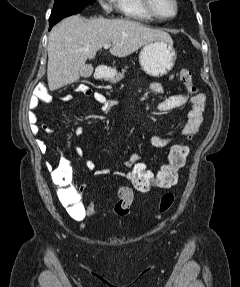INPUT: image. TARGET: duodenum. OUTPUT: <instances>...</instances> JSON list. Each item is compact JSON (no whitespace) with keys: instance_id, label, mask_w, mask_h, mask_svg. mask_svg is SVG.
<instances>
[{"instance_id":"1","label":"duodenum","mask_w":240,"mask_h":287,"mask_svg":"<svg viewBox=\"0 0 240 287\" xmlns=\"http://www.w3.org/2000/svg\"><path fill=\"white\" fill-rule=\"evenodd\" d=\"M110 74V69L107 65H98L96 72H95V78L98 80L104 79L108 77Z\"/></svg>"}]
</instances>
